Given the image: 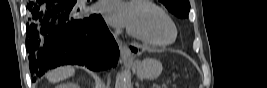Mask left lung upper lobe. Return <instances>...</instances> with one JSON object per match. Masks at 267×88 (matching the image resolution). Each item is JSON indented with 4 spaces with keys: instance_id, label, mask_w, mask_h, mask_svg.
Returning <instances> with one entry per match:
<instances>
[{
    "instance_id": "5c2ea615",
    "label": "left lung upper lobe",
    "mask_w": 267,
    "mask_h": 88,
    "mask_svg": "<svg viewBox=\"0 0 267 88\" xmlns=\"http://www.w3.org/2000/svg\"><path fill=\"white\" fill-rule=\"evenodd\" d=\"M170 12L178 17H188L190 10L189 0H159Z\"/></svg>"
}]
</instances>
